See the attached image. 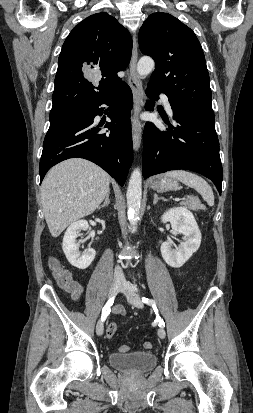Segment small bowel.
Returning a JSON list of instances; mask_svg holds the SVG:
<instances>
[{"instance_id": "small-bowel-1", "label": "small bowel", "mask_w": 253, "mask_h": 413, "mask_svg": "<svg viewBox=\"0 0 253 413\" xmlns=\"http://www.w3.org/2000/svg\"><path fill=\"white\" fill-rule=\"evenodd\" d=\"M63 289L69 294L71 299L74 301H78L84 291L83 286L78 281H75V280H73L67 286H64ZM113 312L117 315H124L125 309L122 306H116L113 309Z\"/></svg>"}]
</instances>
